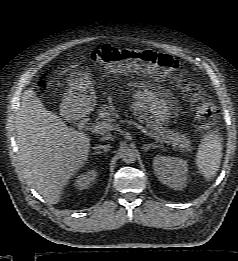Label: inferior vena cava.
<instances>
[{
  "mask_svg": "<svg viewBox=\"0 0 238 261\" xmlns=\"http://www.w3.org/2000/svg\"><path fill=\"white\" fill-rule=\"evenodd\" d=\"M95 150H99V149H109V145H98L94 147Z\"/></svg>",
  "mask_w": 238,
  "mask_h": 261,
  "instance_id": "inferior-vena-cava-1",
  "label": "inferior vena cava"
}]
</instances>
